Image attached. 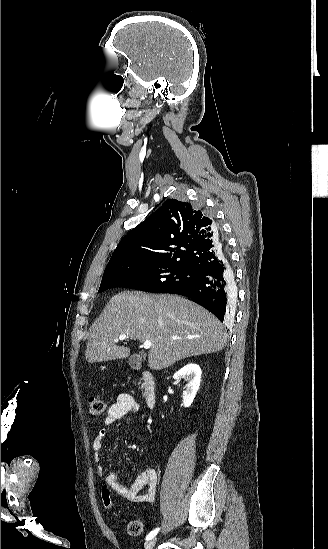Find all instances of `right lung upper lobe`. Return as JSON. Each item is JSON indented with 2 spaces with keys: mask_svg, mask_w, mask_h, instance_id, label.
<instances>
[{
  "mask_svg": "<svg viewBox=\"0 0 328 549\" xmlns=\"http://www.w3.org/2000/svg\"><path fill=\"white\" fill-rule=\"evenodd\" d=\"M226 256L225 241L214 218L190 203L168 199L120 241L105 271L136 260L200 272Z\"/></svg>",
  "mask_w": 328,
  "mask_h": 549,
  "instance_id": "obj_1",
  "label": "right lung upper lobe"
}]
</instances>
